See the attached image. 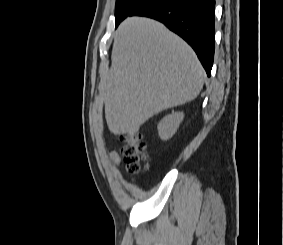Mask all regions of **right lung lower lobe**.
Returning a JSON list of instances; mask_svg holds the SVG:
<instances>
[{"label": "right lung lower lobe", "instance_id": "98d812e1", "mask_svg": "<svg viewBox=\"0 0 283 245\" xmlns=\"http://www.w3.org/2000/svg\"><path fill=\"white\" fill-rule=\"evenodd\" d=\"M215 0H147L128 16H147L164 23L195 50L207 75L214 58Z\"/></svg>", "mask_w": 283, "mask_h": 245}]
</instances>
